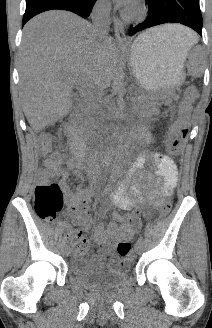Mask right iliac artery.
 Instances as JSON below:
<instances>
[{"mask_svg": "<svg viewBox=\"0 0 212 328\" xmlns=\"http://www.w3.org/2000/svg\"><path fill=\"white\" fill-rule=\"evenodd\" d=\"M65 244H66V240L65 239H62L61 245L64 246Z\"/></svg>", "mask_w": 212, "mask_h": 328, "instance_id": "right-iliac-artery-1", "label": "right iliac artery"}]
</instances>
